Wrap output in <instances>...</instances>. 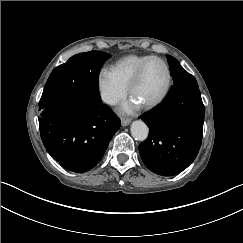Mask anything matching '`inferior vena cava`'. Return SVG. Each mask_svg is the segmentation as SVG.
<instances>
[{"label":"inferior vena cava","instance_id":"obj_1","mask_svg":"<svg viewBox=\"0 0 243 243\" xmlns=\"http://www.w3.org/2000/svg\"><path fill=\"white\" fill-rule=\"evenodd\" d=\"M107 97H109V95L108 94H104V100H106V101H109V103H115V102H113L112 101V97H109V98H107Z\"/></svg>","mask_w":243,"mask_h":243}]
</instances>
